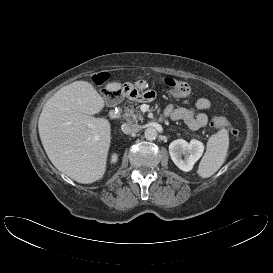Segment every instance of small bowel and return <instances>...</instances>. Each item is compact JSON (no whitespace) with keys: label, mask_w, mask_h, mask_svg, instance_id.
Wrapping results in <instances>:
<instances>
[{"label":"small bowel","mask_w":273,"mask_h":273,"mask_svg":"<svg viewBox=\"0 0 273 273\" xmlns=\"http://www.w3.org/2000/svg\"><path fill=\"white\" fill-rule=\"evenodd\" d=\"M211 107V103L206 98H200L195 103V107H176L168 105L165 109V116L174 121L182 120L191 130L204 128L208 124L206 111Z\"/></svg>","instance_id":"1"}]
</instances>
